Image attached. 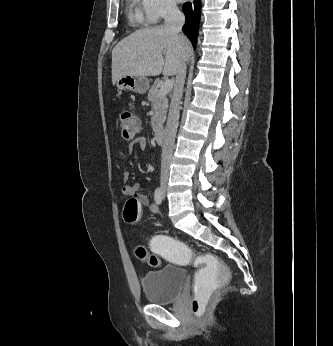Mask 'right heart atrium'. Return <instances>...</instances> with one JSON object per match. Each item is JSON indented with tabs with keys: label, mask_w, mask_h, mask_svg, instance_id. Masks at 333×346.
I'll return each mask as SVG.
<instances>
[{
	"label": "right heart atrium",
	"mask_w": 333,
	"mask_h": 346,
	"mask_svg": "<svg viewBox=\"0 0 333 346\" xmlns=\"http://www.w3.org/2000/svg\"><path fill=\"white\" fill-rule=\"evenodd\" d=\"M141 5L147 22L152 24L179 12L175 0H141Z\"/></svg>",
	"instance_id": "right-heart-atrium-1"
}]
</instances>
